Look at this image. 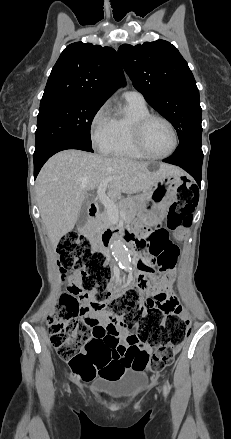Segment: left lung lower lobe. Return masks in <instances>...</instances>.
Returning <instances> with one entry per match:
<instances>
[{"label": "left lung lower lobe", "instance_id": "0a47b994", "mask_svg": "<svg viewBox=\"0 0 231 439\" xmlns=\"http://www.w3.org/2000/svg\"><path fill=\"white\" fill-rule=\"evenodd\" d=\"M201 131L188 133L182 140L174 154L163 162L180 166L201 184L203 152L201 149Z\"/></svg>", "mask_w": 231, "mask_h": 439}]
</instances>
